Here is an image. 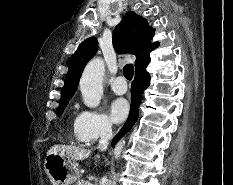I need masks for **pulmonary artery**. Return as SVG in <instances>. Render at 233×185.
Returning <instances> with one entry per match:
<instances>
[{"label": "pulmonary artery", "instance_id": "e3ab8cb5", "mask_svg": "<svg viewBox=\"0 0 233 185\" xmlns=\"http://www.w3.org/2000/svg\"><path fill=\"white\" fill-rule=\"evenodd\" d=\"M112 90L117 94H124L127 91L126 80L122 76H118L111 82Z\"/></svg>", "mask_w": 233, "mask_h": 185}]
</instances>
